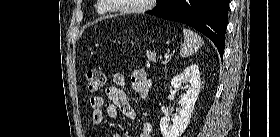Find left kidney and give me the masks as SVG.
Segmentation results:
<instances>
[{
	"label": "left kidney",
	"instance_id": "left-kidney-1",
	"mask_svg": "<svg viewBox=\"0 0 280 137\" xmlns=\"http://www.w3.org/2000/svg\"><path fill=\"white\" fill-rule=\"evenodd\" d=\"M200 81L199 67L196 64L188 66L181 73L173 77L171 86L174 89H179L182 83H185L186 92L179 100L181 109L177 115L172 117V124L169 123L170 119L168 116L161 118L160 130L163 137H181L186 130L200 92Z\"/></svg>",
	"mask_w": 280,
	"mask_h": 137
}]
</instances>
